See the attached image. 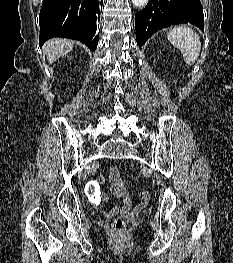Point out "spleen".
<instances>
[{"instance_id": "spleen-1", "label": "spleen", "mask_w": 233, "mask_h": 263, "mask_svg": "<svg viewBox=\"0 0 233 263\" xmlns=\"http://www.w3.org/2000/svg\"><path fill=\"white\" fill-rule=\"evenodd\" d=\"M167 39L180 50L186 64L191 66L195 63L201 50L200 37L196 32L179 26L167 33Z\"/></svg>"}]
</instances>
